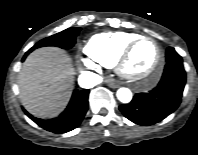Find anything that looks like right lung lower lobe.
<instances>
[{"mask_svg": "<svg viewBox=\"0 0 198 155\" xmlns=\"http://www.w3.org/2000/svg\"><path fill=\"white\" fill-rule=\"evenodd\" d=\"M30 52L28 51L23 57V61ZM88 89L84 90H74L72 98L69 102V105L65 111L60 114L59 117L53 118L50 120H42L36 117H33L28 112L25 113L31 118L37 125L43 129L53 132V133H65L73 130L83 120L87 109H88Z\"/></svg>", "mask_w": 198, "mask_h": 155, "instance_id": "1", "label": "right lung lower lobe"}]
</instances>
